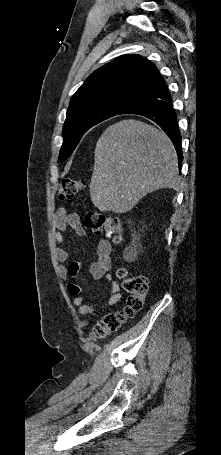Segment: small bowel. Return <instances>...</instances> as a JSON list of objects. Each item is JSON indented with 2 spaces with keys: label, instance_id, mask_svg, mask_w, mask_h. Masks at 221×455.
<instances>
[{
  "label": "small bowel",
  "instance_id": "c3829d8e",
  "mask_svg": "<svg viewBox=\"0 0 221 455\" xmlns=\"http://www.w3.org/2000/svg\"><path fill=\"white\" fill-rule=\"evenodd\" d=\"M54 223L56 230L54 237L58 243H62L64 240L63 232L67 228H72L79 237L89 238L87 231L84 229L79 216L76 213H69L65 210H59L55 217ZM96 261L88 267V271L93 279L99 280L106 278L108 280L111 295L107 300L106 306L110 307L115 305L121 300V292L119 284L112 280L109 276L111 269V245L107 240H99L95 244ZM55 258L58 261L64 262L68 259V252L61 248L56 247ZM83 269L81 262H71L67 267L63 269L65 275L76 276ZM81 286L77 283H69L67 285V292L73 296V305L77 308L80 314H91L96 311V308L86 303L85 297L81 293Z\"/></svg>",
  "mask_w": 221,
  "mask_h": 455
}]
</instances>
